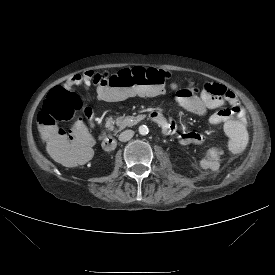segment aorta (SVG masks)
Wrapping results in <instances>:
<instances>
[{
  "label": "aorta",
  "instance_id": "aorta-1",
  "mask_svg": "<svg viewBox=\"0 0 275 275\" xmlns=\"http://www.w3.org/2000/svg\"><path fill=\"white\" fill-rule=\"evenodd\" d=\"M138 131H139V134L141 135H147L149 132L148 127L146 125L139 126Z\"/></svg>",
  "mask_w": 275,
  "mask_h": 275
}]
</instances>
